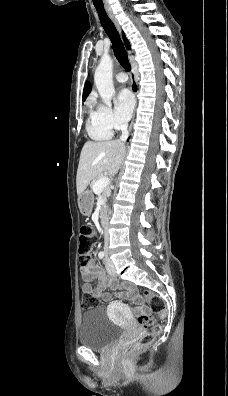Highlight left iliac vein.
I'll return each mask as SVG.
<instances>
[{
  "mask_svg": "<svg viewBox=\"0 0 228 396\" xmlns=\"http://www.w3.org/2000/svg\"><path fill=\"white\" fill-rule=\"evenodd\" d=\"M106 269L109 275L111 276L116 275V269L114 267V264L109 259H106Z\"/></svg>",
  "mask_w": 228,
  "mask_h": 396,
  "instance_id": "1",
  "label": "left iliac vein"
}]
</instances>
